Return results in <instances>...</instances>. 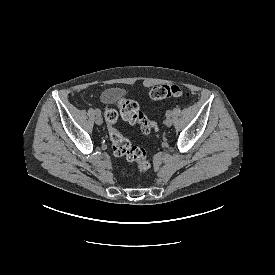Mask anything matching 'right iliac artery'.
<instances>
[{
  "label": "right iliac artery",
  "instance_id": "obj_1",
  "mask_svg": "<svg viewBox=\"0 0 275 275\" xmlns=\"http://www.w3.org/2000/svg\"><path fill=\"white\" fill-rule=\"evenodd\" d=\"M94 112H95V114H97V113H100V110L99 109H95Z\"/></svg>",
  "mask_w": 275,
  "mask_h": 275
}]
</instances>
